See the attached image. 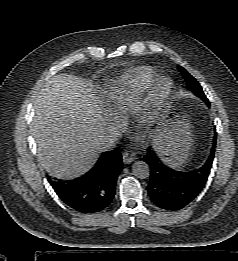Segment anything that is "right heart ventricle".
Here are the masks:
<instances>
[{
	"instance_id": "obj_1",
	"label": "right heart ventricle",
	"mask_w": 238,
	"mask_h": 261,
	"mask_svg": "<svg viewBox=\"0 0 238 261\" xmlns=\"http://www.w3.org/2000/svg\"><path fill=\"white\" fill-rule=\"evenodd\" d=\"M155 75L151 67H139L111 87L107 97L112 110L119 114L136 108Z\"/></svg>"
}]
</instances>
